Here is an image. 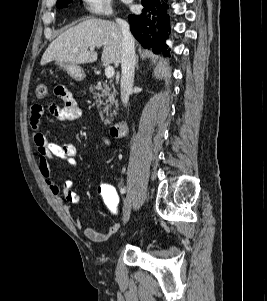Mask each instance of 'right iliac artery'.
<instances>
[{
	"instance_id": "obj_1",
	"label": "right iliac artery",
	"mask_w": 267,
	"mask_h": 301,
	"mask_svg": "<svg viewBox=\"0 0 267 301\" xmlns=\"http://www.w3.org/2000/svg\"><path fill=\"white\" fill-rule=\"evenodd\" d=\"M125 192H126V189H125V188H121V189H120V193H121V194H124Z\"/></svg>"
}]
</instances>
